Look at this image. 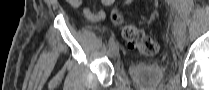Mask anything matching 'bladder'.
<instances>
[{
	"label": "bladder",
	"mask_w": 209,
	"mask_h": 90,
	"mask_svg": "<svg viewBox=\"0 0 209 90\" xmlns=\"http://www.w3.org/2000/svg\"><path fill=\"white\" fill-rule=\"evenodd\" d=\"M166 71L165 64L156 62L132 64L129 67V75L133 81L147 90L157 87L165 79Z\"/></svg>",
	"instance_id": "obj_1"
}]
</instances>
